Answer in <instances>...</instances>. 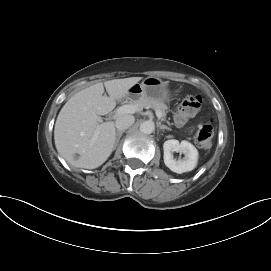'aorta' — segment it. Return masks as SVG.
I'll return each instance as SVG.
<instances>
[{
  "instance_id": "762f6f07",
  "label": "aorta",
  "mask_w": 271,
  "mask_h": 271,
  "mask_svg": "<svg viewBox=\"0 0 271 271\" xmlns=\"http://www.w3.org/2000/svg\"><path fill=\"white\" fill-rule=\"evenodd\" d=\"M140 131L144 134H151L155 130L154 122L148 120L140 124Z\"/></svg>"
}]
</instances>
